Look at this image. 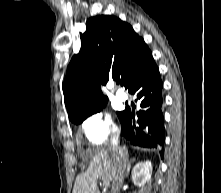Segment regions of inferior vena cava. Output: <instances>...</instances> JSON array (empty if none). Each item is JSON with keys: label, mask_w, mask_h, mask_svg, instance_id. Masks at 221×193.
Wrapping results in <instances>:
<instances>
[{"label": "inferior vena cava", "mask_w": 221, "mask_h": 193, "mask_svg": "<svg viewBox=\"0 0 221 193\" xmlns=\"http://www.w3.org/2000/svg\"><path fill=\"white\" fill-rule=\"evenodd\" d=\"M118 144H119V135L115 136L112 139L111 142V148L113 150H118ZM125 170H126V161L123 160L122 158H117L116 159V164H115V170L113 173V180H112V186H111V193H118L120 190L122 184H123V179L125 176Z\"/></svg>", "instance_id": "obj_1"}]
</instances>
